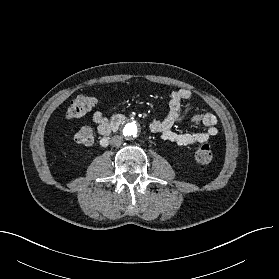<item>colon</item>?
<instances>
[{"label":"colon","instance_id":"obj_1","mask_svg":"<svg viewBox=\"0 0 279 279\" xmlns=\"http://www.w3.org/2000/svg\"><path fill=\"white\" fill-rule=\"evenodd\" d=\"M95 105V99L83 94L75 98L66 110L68 119H77L86 115ZM94 140L93 131L89 127L81 128L75 135V141L81 145H90ZM195 159L202 164L210 163L213 159V152L209 144H203L195 152Z\"/></svg>","mask_w":279,"mask_h":279}]
</instances>
